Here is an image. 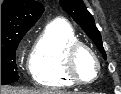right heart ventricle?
<instances>
[{
  "instance_id": "right-heart-ventricle-1",
  "label": "right heart ventricle",
  "mask_w": 121,
  "mask_h": 94,
  "mask_svg": "<svg viewBox=\"0 0 121 94\" xmlns=\"http://www.w3.org/2000/svg\"><path fill=\"white\" fill-rule=\"evenodd\" d=\"M79 41L74 28L65 20L56 19L46 24L37 37L29 60L33 81L48 89H68L74 83L65 70V54Z\"/></svg>"
}]
</instances>
